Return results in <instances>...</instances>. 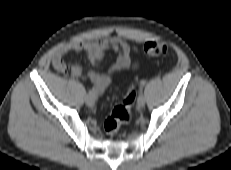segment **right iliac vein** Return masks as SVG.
<instances>
[{
    "instance_id": "63e3f726",
    "label": "right iliac vein",
    "mask_w": 231,
    "mask_h": 170,
    "mask_svg": "<svg viewBox=\"0 0 231 170\" xmlns=\"http://www.w3.org/2000/svg\"><path fill=\"white\" fill-rule=\"evenodd\" d=\"M85 102H86L87 106H89V107H93L95 105V99L90 95L86 96Z\"/></svg>"
}]
</instances>
